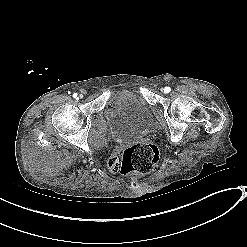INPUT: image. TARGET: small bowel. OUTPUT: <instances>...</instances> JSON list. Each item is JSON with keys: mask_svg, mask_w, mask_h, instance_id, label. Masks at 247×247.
<instances>
[{"mask_svg": "<svg viewBox=\"0 0 247 247\" xmlns=\"http://www.w3.org/2000/svg\"><path fill=\"white\" fill-rule=\"evenodd\" d=\"M126 105V98L120 93H112L106 99V105L104 108V115L108 119H115L119 114L120 110ZM118 158L116 156H109L106 158L105 163L108 166L110 172L115 173L118 171L119 166L116 163Z\"/></svg>", "mask_w": 247, "mask_h": 247, "instance_id": "obj_1", "label": "small bowel"}]
</instances>
